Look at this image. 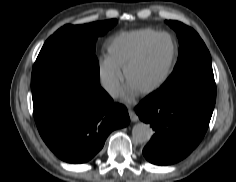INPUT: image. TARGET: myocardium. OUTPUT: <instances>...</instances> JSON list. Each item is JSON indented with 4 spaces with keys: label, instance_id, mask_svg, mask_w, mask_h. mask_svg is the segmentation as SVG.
Masks as SVG:
<instances>
[{
    "label": "myocardium",
    "instance_id": "obj_1",
    "mask_svg": "<svg viewBox=\"0 0 236 182\" xmlns=\"http://www.w3.org/2000/svg\"><path fill=\"white\" fill-rule=\"evenodd\" d=\"M161 36H166L169 39V41H170V53H171L168 66H167L164 74L161 76V78L159 80H157L155 83H153L149 86H146V87L135 86L131 81V73H132L133 69L135 67H137L142 61L145 60V58L148 56V54L151 51L150 49H151L153 43ZM174 59H175V46H174V43H173V40H172L171 36L169 34H166V33L159 34L152 40V42H150V44H148L146 46V48L132 62H130L127 65V67L125 68L126 79L129 82V84L132 87H134L136 90H138L139 92H142V93L150 92V91L154 90L155 88H157L159 85H161L166 80V78L168 77V75L171 72V69H172V66H173V63H174Z\"/></svg>",
    "mask_w": 236,
    "mask_h": 182
}]
</instances>
